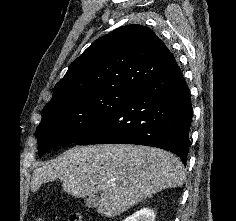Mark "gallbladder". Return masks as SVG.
<instances>
[{"label":"gallbladder","instance_id":"1","mask_svg":"<svg viewBox=\"0 0 236 221\" xmlns=\"http://www.w3.org/2000/svg\"><path fill=\"white\" fill-rule=\"evenodd\" d=\"M85 206L88 208H96L99 204V197L91 195L84 200Z\"/></svg>","mask_w":236,"mask_h":221}]
</instances>
